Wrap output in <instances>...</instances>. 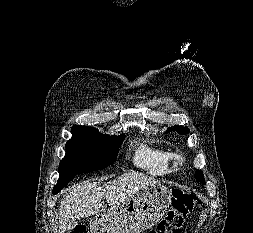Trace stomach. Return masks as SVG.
Returning a JSON list of instances; mask_svg holds the SVG:
<instances>
[{
	"label": "stomach",
	"instance_id": "obj_1",
	"mask_svg": "<svg viewBox=\"0 0 253 233\" xmlns=\"http://www.w3.org/2000/svg\"><path fill=\"white\" fill-rule=\"evenodd\" d=\"M171 203V192L161 184L145 187L107 214L97 215L90 224L92 233H140L165 214Z\"/></svg>",
	"mask_w": 253,
	"mask_h": 233
}]
</instances>
